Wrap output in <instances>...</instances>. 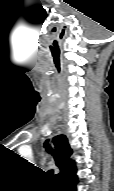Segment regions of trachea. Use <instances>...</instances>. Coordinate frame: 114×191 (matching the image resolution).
Returning <instances> with one entry per match:
<instances>
[{
  "instance_id": "obj_1",
  "label": "trachea",
  "mask_w": 114,
  "mask_h": 191,
  "mask_svg": "<svg viewBox=\"0 0 114 191\" xmlns=\"http://www.w3.org/2000/svg\"><path fill=\"white\" fill-rule=\"evenodd\" d=\"M48 172H49V174H50V175H52V173H53V171H52V170H49Z\"/></svg>"
}]
</instances>
